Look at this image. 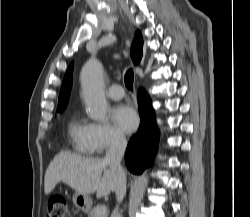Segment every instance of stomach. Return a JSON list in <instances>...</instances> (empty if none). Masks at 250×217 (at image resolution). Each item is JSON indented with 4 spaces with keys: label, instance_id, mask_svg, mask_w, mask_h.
<instances>
[{
    "label": "stomach",
    "instance_id": "stomach-1",
    "mask_svg": "<svg viewBox=\"0 0 250 217\" xmlns=\"http://www.w3.org/2000/svg\"><path fill=\"white\" fill-rule=\"evenodd\" d=\"M73 203L76 208L84 213H88L92 206V199L89 194L75 193L73 195Z\"/></svg>",
    "mask_w": 250,
    "mask_h": 217
}]
</instances>
